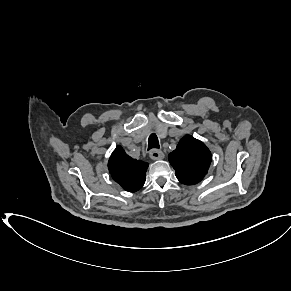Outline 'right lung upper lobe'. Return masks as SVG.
<instances>
[{"instance_id": "right-lung-upper-lobe-1", "label": "right lung upper lobe", "mask_w": 291, "mask_h": 291, "mask_svg": "<svg viewBox=\"0 0 291 291\" xmlns=\"http://www.w3.org/2000/svg\"><path fill=\"white\" fill-rule=\"evenodd\" d=\"M147 168L148 163L131 158L121 146L116 147L108 162L114 181L129 192H135L144 185Z\"/></svg>"}]
</instances>
